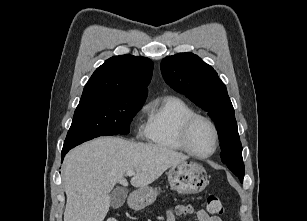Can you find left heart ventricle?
Listing matches in <instances>:
<instances>
[{"label": "left heart ventricle", "mask_w": 307, "mask_h": 221, "mask_svg": "<svg viewBox=\"0 0 307 221\" xmlns=\"http://www.w3.org/2000/svg\"><path fill=\"white\" fill-rule=\"evenodd\" d=\"M189 143L199 154L211 152L214 147V134L210 126L204 121H197L190 131Z\"/></svg>", "instance_id": "left-heart-ventricle-1"}]
</instances>
